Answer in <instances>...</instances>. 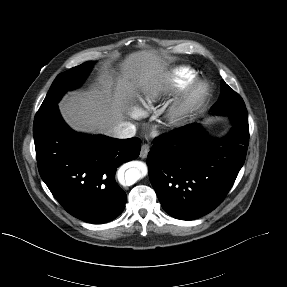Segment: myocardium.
Masks as SVG:
<instances>
[{"label":"myocardium","mask_w":287,"mask_h":287,"mask_svg":"<svg viewBox=\"0 0 287 287\" xmlns=\"http://www.w3.org/2000/svg\"><path fill=\"white\" fill-rule=\"evenodd\" d=\"M211 93L209 84L202 79L190 82L174 100L166 113L170 125H180L204 105Z\"/></svg>","instance_id":"myocardium-1"}]
</instances>
